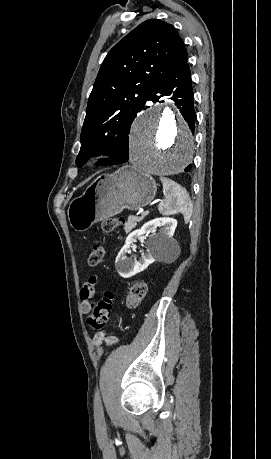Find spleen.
Returning a JSON list of instances; mask_svg holds the SVG:
<instances>
[{"mask_svg": "<svg viewBox=\"0 0 271 459\" xmlns=\"http://www.w3.org/2000/svg\"><path fill=\"white\" fill-rule=\"evenodd\" d=\"M163 184V194L165 200L160 202L158 210L163 216H170V214H178L181 212L184 216V220L187 224L191 220L193 206L191 200H184L181 192V186L169 180V178H160Z\"/></svg>", "mask_w": 271, "mask_h": 459, "instance_id": "3e777b00", "label": "spleen"}]
</instances>
